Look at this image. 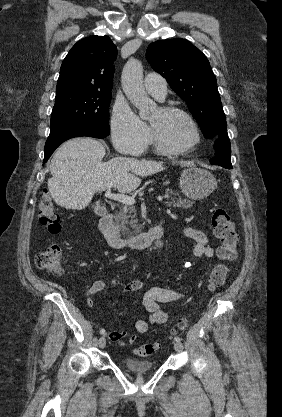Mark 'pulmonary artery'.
Instances as JSON below:
<instances>
[{"instance_id":"pulmonary-artery-1","label":"pulmonary artery","mask_w":282,"mask_h":417,"mask_svg":"<svg viewBox=\"0 0 282 417\" xmlns=\"http://www.w3.org/2000/svg\"><path fill=\"white\" fill-rule=\"evenodd\" d=\"M144 87L148 93L157 99H164L166 96V80L158 74L151 73L144 78Z\"/></svg>"}]
</instances>
